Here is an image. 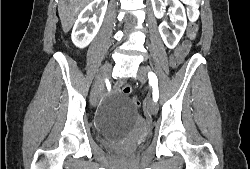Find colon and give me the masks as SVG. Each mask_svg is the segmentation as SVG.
Segmentation results:
<instances>
[{"label": "colon", "mask_w": 250, "mask_h": 169, "mask_svg": "<svg viewBox=\"0 0 250 169\" xmlns=\"http://www.w3.org/2000/svg\"><path fill=\"white\" fill-rule=\"evenodd\" d=\"M188 32H187V37L188 38H193L197 34V28L199 27V24L195 20H190L188 23ZM62 43H71V38H62ZM183 55V54H178V52L173 53V54H168V59L169 61V66H172L173 69H178V63L180 62L178 60V56ZM132 89L131 85H124L122 88V93L123 95H130V90ZM133 102H135V105L138 107L140 105V97L139 95H134L133 97Z\"/></svg>", "instance_id": "colon-1"}]
</instances>
